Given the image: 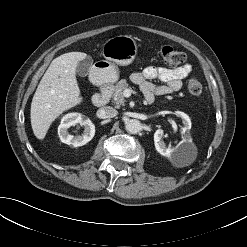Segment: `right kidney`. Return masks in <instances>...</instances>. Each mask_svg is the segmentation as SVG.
Returning <instances> with one entry per match:
<instances>
[{"mask_svg": "<svg viewBox=\"0 0 247 247\" xmlns=\"http://www.w3.org/2000/svg\"><path fill=\"white\" fill-rule=\"evenodd\" d=\"M80 124L84 126V133L82 135L73 136L69 134L68 128ZM58 135L60 140L68 145L79 147L88 143L95 135V125L84 118L80 113L66 114L58 127Z\"/></svg>", "mask_w": 247, "mask_h": 247, "instance_id": "obj_1", "label": "right kidney"}]
</instances>
